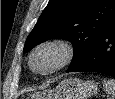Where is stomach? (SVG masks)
Wrapping results in <instances>:
<instances>
[{"instance_id":"stomach-1","label":"stomach","mask_w":115,"mask_h":99,"mask_svg":"<svg viewBox=\"0 0 115 99\" xmlns=\"http://www.w3.org/2000/svg\"><path fill=\"white\" fill-rule=\"evenodd\" d=\"M94 81L78 78L62 80L55 89L43 90L29 96L30 99H87L97 92Z\"/></svg>"}]
</instances>
